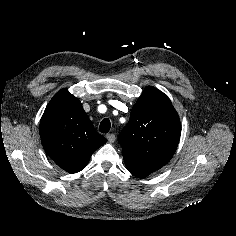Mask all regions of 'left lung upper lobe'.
Here are the masks:
<instances>
[{
    "label": "left lung upper lobe",
    "mask_w": 236,
    "mask_h": 236,
    "mask_svg": "<svg viewBox=\"0 0 236 236\" xmlns=\"http://www.w3.org/2000/svg\"><path fill=\"white\" fill-rule=\"evenodd\" d=\"M180 134V120L170 100L148 86L133 106L118 140L124 156L162 167L174 155Z\"/></svg>",
    "instance_id": "1"
}]
</instances>
